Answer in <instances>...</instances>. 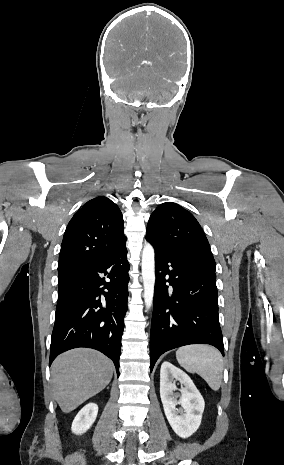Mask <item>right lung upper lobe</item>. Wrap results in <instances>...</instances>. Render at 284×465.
<instances>
[{"mask_svg": "<svg viewBox=\"0 0 284 465\" xmlns=\"http://www.w3.org/2000/svg\"><path fill=\"white\" fill-rule=\"evenodd\" d=\"M123 216L109 198L96 197L74 214L63 236L59 278L93 266L126 243Z\"/></svg>", "mask_w": 284, "mask_h": 465, "instance_id": "right-lung-upper-lobe-1", "label": "right lung upper lobe"}]
</instances>
